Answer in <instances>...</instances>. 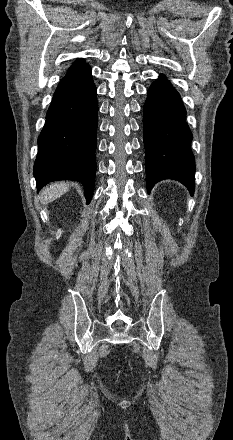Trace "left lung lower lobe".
Listing matches in <instances>:
<instances>
[{"label": "left lung lower lobe", "mask_w": 233, "mask_h": 440, "mask_svg": "<svg viewBox=\"0 0 233 440\" xmlns=\"http://www.w3.org/2000/svg\"><path fill=\"white\" fill-rule=\"evenodd\" d=\"M185 117L179 93L160 76L150 86L143 110L148 192L165 178L178 180L194 192L193 137Z\"/></svg>", "instance_id": "0a47b994"}]
</instances>
